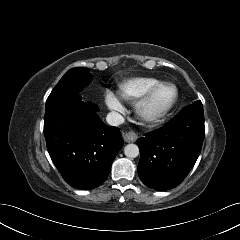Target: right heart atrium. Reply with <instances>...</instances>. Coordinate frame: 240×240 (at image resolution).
<instances>
[{
    "mask_svg": "<svg viewBox=\"0 0 240 240\" xmlns=\"http://www.w3.org/2000/svg\"><path fill=\"white\" fill-rule=\"evenodd\" d=\"M105 102H106L107 107L114 112L121 113L125 109L120 98L111 91L106 92Z\"/></svg>",
    "mask_w": 240,
    "mask_h": 240,
    "instance_id": "obj_1",
    "label": "right heart atrium"
}]
</instances>
